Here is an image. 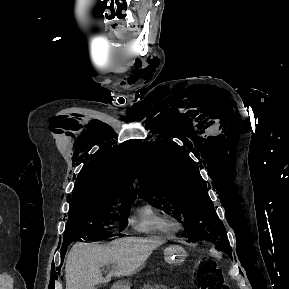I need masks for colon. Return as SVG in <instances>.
Returning a JSON list of instances; mask_svg holds the SVG:
<instances>
[{
  "mask_svg": "<svg viewBox=\"0 0 289 289\" xmlns=\"http://www.w3.org/2000/svg\"><path fill=\"white\" fill-rule=\"evenodd\" d=\"M194 283L199 289H228L217 272L214 264H201L194 272Z\"/></svg>",
  "mask_w": 289,
  "mask_h": 289,
  "instance_id": "5ec220e1",
  "label": "colon"
}]
</instances>
